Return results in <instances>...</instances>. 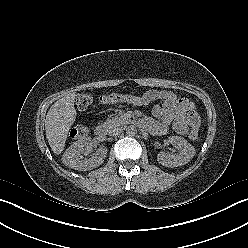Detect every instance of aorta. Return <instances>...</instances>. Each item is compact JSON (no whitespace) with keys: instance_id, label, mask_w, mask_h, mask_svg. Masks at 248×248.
I'll return each mask as SVG.
<instances>
[{"instance_id":"obj_1","label":"aorta","mask_w":248,"mask_h":248,"mask_svg":"<svg viewBox=\"0 0 248 248\" xmlns=\"http://www.w3.org/2000/svg\"><path fill=\"white\" fill-rule=\"evenodd\" d=\"M126 134L128 136H134L137 134V128L134 125H129L126 127Z\"/></svg>"}]
</instances>
